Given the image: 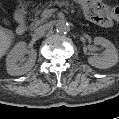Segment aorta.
<instances>
[{"label": "aorta", "instance_id": "aorta-1", "mask_svg": "<svg viewBox=\"0 0 119 119\" xmlns=\"http://www.w3.org/2000/svg\"><path fill=\"white\" fill-rule=\"evenodd\" d=\"M70 30V25L67 21L65 20H60L56 24V31L58 33H67Z\"/></svg>", "mask_w": 119, "mask_h": 119}]
</instances>
